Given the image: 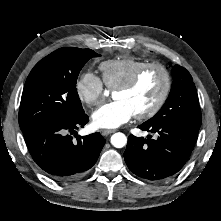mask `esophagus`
Instances as JSON below:
<instances>
[{
	"mask_svg": "<svg viewBox=\"0 0 221 221\" xmlns=\"http://www.w3.org/2000/svg\"><path fill=\"white\" fill-rule=\"evenodd\" d=\"M116 130H113V129H105V130H102L101 131V134L103 135V136H107V135H109V134H111V133H114Z\"/></svg>",
	"mask_w": 221,
	"mask_h": 221,
	"instance_id": "esophagus-1",
	"label": "esophagus"
}]
</instances>
